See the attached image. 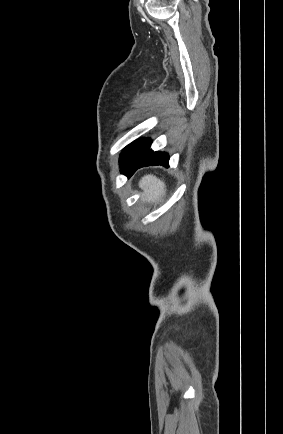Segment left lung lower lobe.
Instances as JSON below:
<instances>
[{"instance_id":"obj_1","label":"left lung lower lobe","mask_w":283,"mask_h":434,"mask_svg":"<svg viewBox=\"0 0 283 434\" xmlns=\"http://www.w3.org/2000/svg\"><path fill=\"white\" fill-rule=\"evenodd\" d=\"M169 156L167 153L154 152L150 148L144 156L134 159L130 162L121 164V173L128 176V178L138 169L150 165H162L168 167Z\"/></svg>"}]
</instances>
